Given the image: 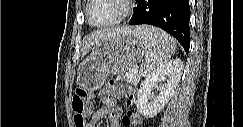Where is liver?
<instances>
[{
  "label": "liver",
  "instance_id": "1",
  "mask_svg": "<svg viewBox=\"0 0 243 127\" xmlns=\"http://www.w3.org/2000/svg\"><path fill=\"white\" fill-rule=\"evenodd\" d=\"M140 27L132 28V27H123V28H116V29H110V30H101V31H96L90 34L89 36L86 37L83 45V54H87L94 44L99 42L102 39H105L107 37L114 36L119 33H130V32H135L137 29Z\"/></svg>",
  "mask_w": 243,
  "mask_h": 127
}]
</instances>
